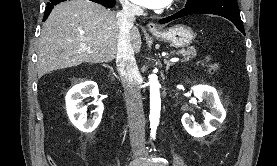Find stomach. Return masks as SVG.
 Masks as SVG:
<instances>
[{"instance_id": "obj_1", "label": "stomach", "mask_w": 277, "mask_h": 166, "mask_svg": "<svg viewBox=\"0 0 277 166\" xmlns=\"http://www.w3.org/2000/svg\"><path fill=\"white\" fill-rule=\"evenodd\" d=\"M153 35L156 39L168 42L175 47L188 46L195 39L194 31L186 25H175L169 29L155 32Z\"/></svg>"}]
</instances>
